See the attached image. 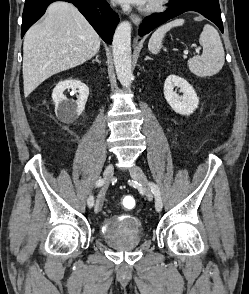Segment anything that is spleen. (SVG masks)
<instances>
[{
	"label": "spleen",
	"instance_id": "3e777b00",
	"mask_svg": "<svg viewBox=\"0 0 249 294\" xmlns=\"http://www.w3.org/2000/svg\"><path fill=\"white\" fill-rule=\"evenodd\" d=\"M183 23L184 19H175L158 27L149 40V50L153 54L159 53L165 33ZM199 43L203 47V53L188 61L189 70L198 77L213 76L222 69L225 62L224 48L219 33L213 26L205 25Z\"/></svg>",
	"mask_w": 249,
	"mask_h": 294
}]
</instances>
